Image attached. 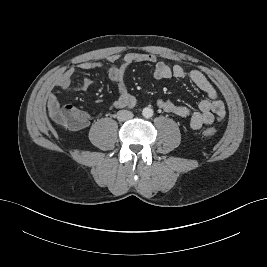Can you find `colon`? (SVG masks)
<instances>
[{
    "label": "colon",
    "instance_id": "colon-1",
    "mask_svg": "<svg viewBox=\"0 0 267 267\" xmlns=\"http://www.w3.org/2000/svg\"><path fill=\"white\" fill-rule=\"evenodd\" d=\"M55 120L62 126L71 130L79 129L82 124L81 116L74 109L68 107L61 109ZM215 133L216 130L214 128H206L202 131V134L206 137H212Z\"/></svg>",
    "mask_w": 267,
    "mask_h": 267
}]
</instances>
